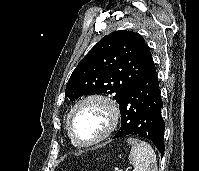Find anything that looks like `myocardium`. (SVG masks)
Wrapping results in <instances>:
<instances>
[{
    "instance_id": "1",
    "label": "myocardium",
    "mask_w": 199,
    "mask_h": 171,
    "mask_svg": "<svg viewBox=\"0 0 199 171\" xmlns=\"http://www.w3.org/2000/svg\"><path fill=\"white\" fill-rule=\"evenodd\" d=\"M87 103H97L102 106L103 109L107 112L108 115V126L105 129V131L97 138L90 140V141H81L79 140L76 135L74 134V131L72 129V116L75 113V111L82 105ZM120 119V109L117 104V102L112 99L111 97H108L103 94H88L80 99H78L69 110L67 117H66V128L68 135L71 139V141L80 147H88L95 145L103 140H105L107 137H109L112 132L116 129L118 122Z\"/></svg>"
}]
</instances>
